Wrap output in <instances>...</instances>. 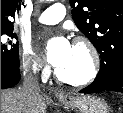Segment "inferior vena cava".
Masks as SVG:
<instances>
[{
  "label": "inferior vena cava",
  "instance_id": "602c4592",
  "mask_svg": "<svg viewBox=\"0 0 123 113\" xmlns=\"http://www.w3.org/2000/svg\"><path fill=\"white\" fill-rule=\"evenodd\" d=\"M20 91L28 99H34L40 95V86L38 76L31 71L24 74L23 85Z\"/></svg>",
  "mask_w": 123,
  "mask_h": 113
}]
</instances>
